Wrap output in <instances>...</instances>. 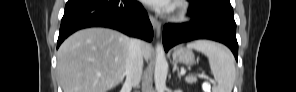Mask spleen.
Wrapping results in <instances>:
<instances>
[{
    "instance_id": "1",
    "label": "spleen",
    "mask_w": 296,
    "mask_h": 92,
    "mask_svg": "<svg viewBox=\"0 0 296 92\" xmlns=\"http://www.w3.org/2000/svg\"><path fill=\"white\" fill-rule=\"evenodd\" d=\"M207 56L217 86L213 92H232L235 81V65L232 53L225 46L207 40H198L187 44Z\"/></svg>"
}]
</instances>
